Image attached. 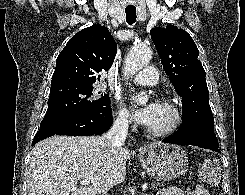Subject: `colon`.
Returning a JSON list of instances; mask_svg holds the SVG:
<instances>
[{
	"mask_svg": "<svg viewBox=\"0 0 245 195\" xmlns=\"http://www.w3.org/2000/svg\"><path fill=\"white\" fill-rule=\"evenodd\" d=\"M199 178L210 185H216L220 181L219 162L215 158H209L205 161L202 168L198 171ZM196 187L186 190V195H191Z\"/></svg>",
	"mask_w": 245,
	"mask_h": 195,
	"instance_id": "obj_1",
	"label": "colon"
}]
</instances>
